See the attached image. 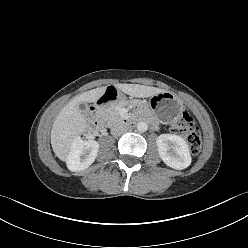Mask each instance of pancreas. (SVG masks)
<instances>
[{
	"mask_svg": "<svg viewBox=\"0 0 248 248\" xmlns=\"http://www.w3.org/2000/svg\"><path fill=\"white\" fill-rule=\"evenodd\" d=\"M103 116H104V120L107 122L108 125H111L114 122L121 119L117 107H109L105 109Z\"/></svg>",
	"mask_w": 248,
	"mask_h": 248,
	"instance_id": "obj_1",
	"label": "pancreas"
}]
</instances>
